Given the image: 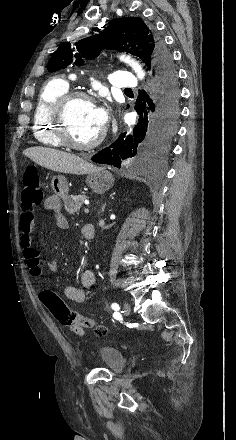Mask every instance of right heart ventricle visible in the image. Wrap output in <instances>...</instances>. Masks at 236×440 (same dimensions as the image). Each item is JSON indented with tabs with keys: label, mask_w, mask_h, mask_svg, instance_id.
<instances>
[{
	"label": "right heart ventricle",
	"mask_w": 236,
	"mask_h": 440,
	"mask_svg": "<svg viewBox=\"0 0 236 440\" xmlns=\"http://www.w3.org/2000/svg\"><path fill=\"white\" fill-rule=\"evenodd\" d=\"M69 88L68 80L59 76L49 79L40 90L33 113V134L39 143L54 148L63 146L55 135L50 112L54 101Z\"/></svg>",
	"instance_id": "right-heart-ventricle-1"
}]
</instances>
